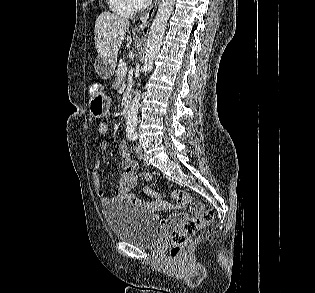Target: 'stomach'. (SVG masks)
Here are the masks:
<instances>
[{"instance_id": "obj_1", "label": "stomach", "mask_w": 315, "mask_h": 293, "mask_svg": "<svg viewBox=\"0 0 315 293\" xmlns=\"http://www.w3.org/2000/svg\"><path fill=\"white\" fill-rule=\"evenodd\" d=\"M89 111L95 118L105 116L110 108V99L101 84H93L89 88Z\"/></svg>"}]
</instances>
